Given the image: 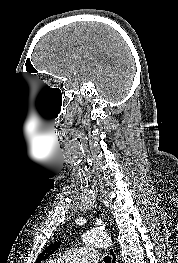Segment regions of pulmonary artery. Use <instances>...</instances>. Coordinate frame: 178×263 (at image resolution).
<instances>
[{"label": "pulmonary artery", "mask_w": 178, "mask_h": 263, "mask_svg": "<svg viewBox=\"0 0 178 263\" xmlns=\"http://www.w3.org/2000/svg\"><path fill=\"white\" fill-rule=\"evenodd\" d=\"M99 253L91 247H77L68 249L56 257L59 263H97Z\"/></svg>", "instance_id": "pulmonary-artery-1"}]
</instances>
